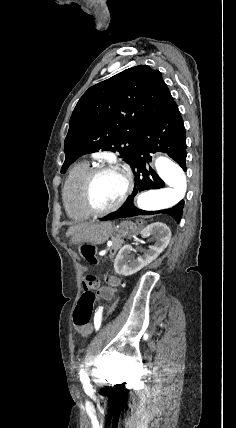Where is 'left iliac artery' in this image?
Masks as SVG:
<instances>
[{
  "mask_svg": "<svg viewBox=\"0 0 236 428\" xmlns=\"http://www.w3.org/2000/svg\"><path fill=\"white\" fill-rule=\"evenodd\" d=\"M102 311H103V307H99L98 311H96L95 313V317H94V325H95V329L99 330L100 325H101V319H102ZM83 366V365H81ZM80 377H88L87 373L81 369L80 370Z\"/></svg>",
  "mask_w": 236,
  "mask_h": 428,
  "instance_id": "1",
  "label": "left iliac artery"
}]
</instances>
